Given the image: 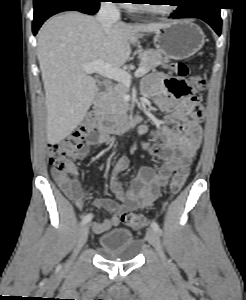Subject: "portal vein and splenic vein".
I'll return each mask as SVG.
<instances>
[{
	"instance_id": "1",
	"label": "portal vein and splenic vein",
	"mask_w": 246,
	"mask_h": 300,
	"mask_svg": "<svg viewBox=\"0 0 246 300\" xmlns=\"http://www.w3.org/2000/svg\"><path fill=\"white\" fill-rule=\"evenodd\" d=\"M83 70L86 74L97 73L109 79H113L125 85L131 84V75L117 67H113L107 63H105L102 59H98L96 61L86 63L83 65ZM146 74L145 69L143 67H139L135 73V77H141Z\"/></svg>"
}]
</instances>
